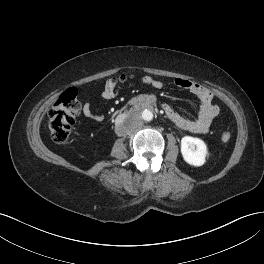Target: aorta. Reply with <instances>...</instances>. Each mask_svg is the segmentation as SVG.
Listing matches in <instances>:
<instances>
[{"mask_svg": "<svg viewBox=\"0 0 264 264\" xmlns=\"http://www.w3.org/2000/svg\"><path fill=\"white\" fill-rule=\"evenodd\" d=\"M138 115L142 121H151L153 119V113L149 109L139 112Z\"/></svg>", "mask_w": 264, "mask_h": 264, "instance_id": "obj_1", "label": "aorta"}]
</instances>
